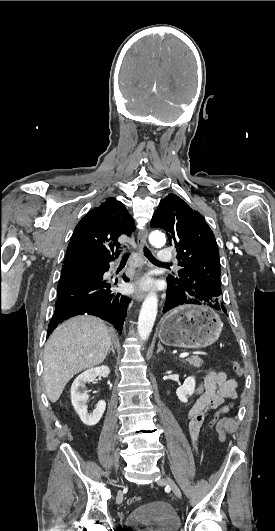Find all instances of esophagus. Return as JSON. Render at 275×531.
Masks as SVG:
<instances>
[{
  "label": "esophagus",
  "mask_w": 275,
  "mask_h": 531,
  "mask_svg": "<svg viewBox=\"0 0 275 531\" xmlns=\"http://www.w3.org/2000/svg\"><path fill=\"white\" fill-rule=\"evenodd\" d=\"M147 237H148L147 229L139 230L138 235H137V245H138V248L141 254V263L139 266L140 269H142L145 266V259L142 255V251L144 249ZM142 282H143L142 275L141 273H139L136 276L135 281H134V297L137 301H142L145 297V290L141 289Z\"/></svg>",
  "instance_id": "esophagus-1"
}]
</instances>
